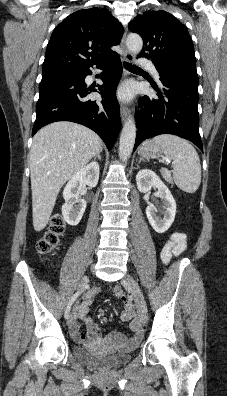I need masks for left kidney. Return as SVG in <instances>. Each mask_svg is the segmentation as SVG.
Segmentation results:
<instances>
[{
  "label": "left kidney",
  "instance_id": "obj_1",
  "mask_svg": "<svg viewBox=\"0 0 227 396\" xmlns=\"http://www.w3.org/2000/svg\"><path fill=\"white\" fill-rule=\"evenodd\" d=\"M136 182L139 191L142 193L150 192L152 187H156L158 189L164 208L163 218L157 216L156 208L153 205L147 206L146 215L152 228L157 233H164L172 225L176 214V202L170 190L155 172L147 169L140 170L137 173Z\"/></svg>",
  "mask_w": 227,
  "mask_h": 396
}]
</instances>
